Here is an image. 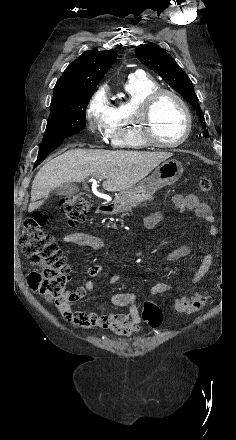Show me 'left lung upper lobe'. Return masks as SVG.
<instances>
[{"label":"left lung upper lobe","mask_w":236,"mask_h":440,"mask_svg":"<svg viewBox=\"0 0 236 440\" xmlns=\"http://www.w3.org/2000/svg\"><path fill=\"white\" fill-rule=\"evenodd\" d=\"M136 57L141 63L148 68L155 71L162 79H164L172 88L178 93L182 94L184 98L196 107L197 112L204 120V115L201 111L198 98L194 92L193 84L180 68L175 60L166 53V51L153 43L140 45L135 50ZM206 124L203 123L205 128ZM204 135L208 137V131L205 130Z\"/></svg>","instance_id":"left-lung-upper-lobe-1"}]
</instances>
